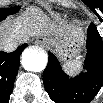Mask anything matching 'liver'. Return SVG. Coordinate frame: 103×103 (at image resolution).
<instances>
[{
  "mask_svg": "<svg viewBox=\"0 0 103 103\" xmlns=\"http://www.w3.org/2000/svg\"><path fill=\"white\" fill-rule=\"evenodd\" d=\"M77 31L70 25L51 21L40 9L31 7L21 17L1 25L0 40L1 44L16 42L19 45L29 37L53 38Z\"/></svg>",
  "mask_w": 103,
  "mask_h": 103,
  "instance_id": "obj_1",
  "label": "liver"
}]
</instances>
